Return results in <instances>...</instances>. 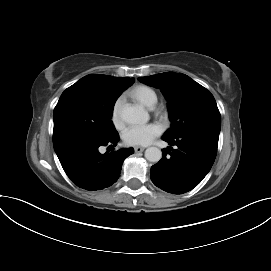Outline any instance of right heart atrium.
I'll return each instance as SVG.
<instances>
[{
	"label": "right heart atrium",
	"mask_w": 271,
	"mask_h": 271,
	"mask_svg": "<svg viewBox=\"0 0 271 271\" xmlns=\"http://www.w3.org/2000/svg\"><path fill=\"white\" fill-rule=\"evenodd\" d=\"M122 102H123L122 98L121 97L118 98L112 108V114H111L112 122L117 127L121 126L122 124V120H121Z\"/></svg>",
	"instance_id": "right-heart-atrium-1"
}]
</instances>
